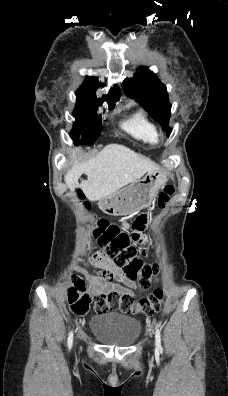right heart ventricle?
I'll list each match as a JSON object with an SVG mask.
<instances>
[{"label":"right heart ventricle","instance_id":"1","mask_svg":"<svg viewBox=\"0 0 228 396\" xmlns=\"http://www.w3.org/2000/svg\"><path fill=\"white\" fill-rule=\"evenodd\" d=\"M131 136L147 144H156L159 133L155 124L142 111L135 112L122 125Z\"/></svg>","mask_w":228,"mask_h":396}]
</instances>
